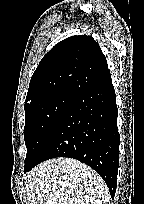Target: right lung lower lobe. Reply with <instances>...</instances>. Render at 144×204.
Instances as JSON below:
<instances>
[{
	"instance_id": "1",
	"label": "right lung lower lobe",
	"mask_w": 144,
	"mask_h": 204,
	"mask_svg": "<svg viewBox=\"0 0 144 204\" xmlns=\"http://www.w3.org/2000/svg\"><path fill=\"white\" fill-rule=\"evenodd\" d=\"M117 112L111 77L78 93L25 172L51 158H74L98 172L113 198L119 167Z\"/></svg>"
}]
</instances>
